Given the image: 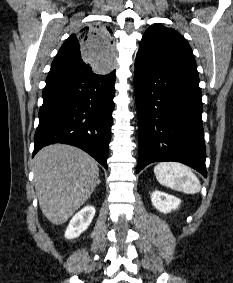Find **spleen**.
<instances>
[{"label": "spleen", "instance_id": "spleen-1", "mask_svg": "<svg viewBox=\"0 0 233 283\" xmlns=\"http://www.w3.org/2000/svg\"><path fill=\"white\" fill-rule=\"evenodd\" d=\"M157 181L169 188L182 191L186 194L198 193L201 184L192 170L177 162H162L154 167Z\"/></svg>", "mask_w": 233, "mask_h": 283}]
</instances>
